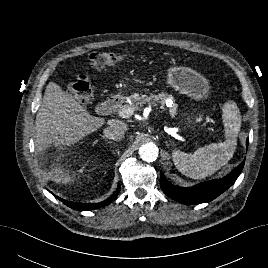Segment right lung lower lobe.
<instances>
[{
	"label": "right lung lower lobe",
	"mask_w": 268,
	"mask_h": 268,
	"mask_svg": "<svg viewBox=\"0 0 268 268\" xmlns=\"http://www.w3.org/2000/svg\"><path fill=\"white\" fill-rule=\"evenodd\" d=\"M119 191H120V184H118V187H117L115 193L111 197H109L108 199H106L102 202H99V203H78V202L66 201V200L61 199L59 197H57V198L60 201H62L65 205H67L68 207H70L74 210H78V211L95 210V209H99L100 207H104V206L110 204L111 202H113L116 199Z\"/></svg>",
	"instance_id": "right-lung-lower-lobe-1"
}]
</instances>
